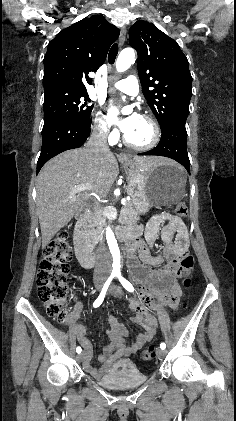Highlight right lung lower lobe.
<instances>
[{"mask_svg": "<svg viewBox=\"0 0 236 421\" xmlns=\"http://www.w3.org/2000/svg\"><path fill=\"white\" fill-rule=\"evenodd\" d=\"M90 132V125L86 127L67 120H57L43 126L42 148L37 162V173L52 157L63 151L82 146Z\"/></svg>", "mask_w": 236, "mask_h": 421, "instance_id": "1", "label": "right lung lower lobe"}]
</instances>
